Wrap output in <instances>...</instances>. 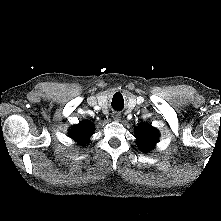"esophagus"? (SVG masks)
<instances>
[{"label":"esophagus","instance_id":"obj_1","mask_svg":"<svg viewBox=\"0 0 221 221\" xmlns=\"http://www.w3.org/2000/svg\"><path fill=\"white\" fill-rule=\"evenodd\" d=\"M112 117L115 121H120L121 118L119 113H114Z\"/></svg>","mask_w":221,"mask_h":221}]
</instances>
